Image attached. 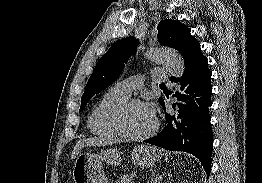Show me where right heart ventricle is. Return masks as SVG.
<instances>
[{
    "label": "right heart ventricle",
    "mask_w": 262,
    "mask_h": 183,
    "mask_svg": "<svg viewBox=\"0 0 262 183\" xmlns=\"http://www.w3.org/2000/svg\"><path fill=\"white\" fill-rule=\"evenodd\" d=\"M128 97L111 89L92 108L88 120L87 127L89 131L101 138H117L119 137L110 125V115L114 109L125 101Z\"/></svg>",
    "instance_id": "obj_1"
}]
</instances>
